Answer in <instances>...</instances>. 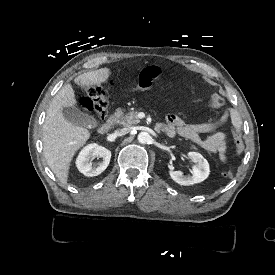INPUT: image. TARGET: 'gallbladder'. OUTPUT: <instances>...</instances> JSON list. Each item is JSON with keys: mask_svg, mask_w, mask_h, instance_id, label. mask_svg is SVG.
<instances>
[{"mask_svg": "<svg viewBox=\"0 0 275 275\" xmlns=\"http://www.w3.org/2000/svg\"><path fill=\"white\" fill-rule=\"evenodd\" d=\"M63 115L67 121L79 127L95 128L98 125V122L93 116L82 112L74 106L64 108Z\"/></svg>", "mask_w": 275, "mask_h": 275, "instance_id": "bac80fb5", "label": "gallbladder"}]
</instances>
